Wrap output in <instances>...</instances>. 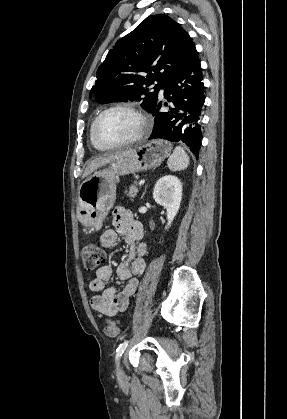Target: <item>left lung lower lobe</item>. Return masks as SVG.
I'll return each mask as SVG.
<instances>
[{"label":"left lung lower lobe","instance_id":"0a47b994","mask_svg":"<svg viewBox=\"0 0 287 419\" xmlns=\"http://www.w3.org/2000/svg\"><path fill=\"white\" fill-rule=\"evenodd\" d=\"M200 61L196 58L189 67L167 80L163 85L164 97L170 104L168 112H160L161 103L149 111L154 127L149 140L165 139L185 143L198 156L202 134L200 115L204 104V84Z\"/></svg>","mask_w":287,"mask_h":419}]
</instances>
